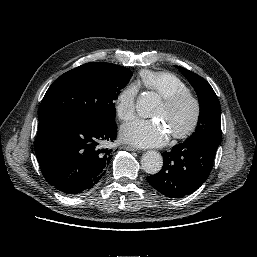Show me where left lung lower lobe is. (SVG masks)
I'll return each instance as SVG.
<instances>
[{"instance_id":"obj_1","label":"left lung lower lobe","mask_w":257,"mask_h":257,"mask_svg":"<svg viewBox=\"0 0 257 257\" xmlns=\"http://www.w3.org/2000/svg\"><path fill=\"white\" fill-rule=\"evenodd\" d=\"M219 144L198 139L186 140L162 153L163 167L147 177L148 183L161 194L179 198L196 191L208 178Z\"/></svg>"}]
</instances>
